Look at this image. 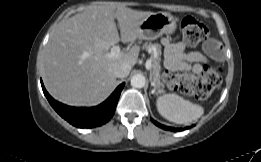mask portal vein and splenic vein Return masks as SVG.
Listing matches in <instances>:
<instances>
[{
  "instance_id": "1",
  "label": "portal vein and splenic vein",
  "mask_w": 261,
  "mask_h": 162,
  "mask_svg": "<svg viewBox=\"0 0 261 162\" xmlns=\"http://www.w3.org/2000/svg\"><path fill=\"white\" fill-rule=\"evenodd\" d=\"M121 54L122 53H121L120 47L117 46V45H114V46H112L111 51L107 56H108V58H118V57L121 56ZM145 67H146L147 70L151 69V59H148L146 61Z\"/></svg>"
}]
</instances>
